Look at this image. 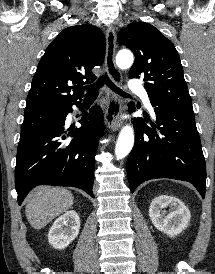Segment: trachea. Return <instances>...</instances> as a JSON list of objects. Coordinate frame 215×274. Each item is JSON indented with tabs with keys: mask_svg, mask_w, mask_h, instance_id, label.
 <instances>
[{
	"mask_svg": "<svg viewBox=\"0 0 215 274\" xmlns=\"http://www.w3.org/2000/svg\"><path fill=\"white\" fill-rule=\"evenodd\" d=\"M103 84H107L109 86V88H111L114 92H116L117 94L124 96V97H128L129 94H127L126 92H124L123 90H121L119 87H117L109 78L108 76L105 74L103 76H101L98 81L92 85H88L85 88L87 89L88 93H87V97L89 98H94L97 96L98 90L99 88H101L103 86Z\"/></svg>",
	"mask_w": 215,
	"mask_h": 274,
	"instance_id": "3493384b",
	"label": "trachea"
}]
</instances>
